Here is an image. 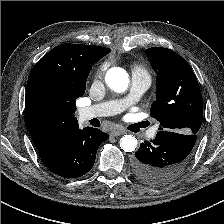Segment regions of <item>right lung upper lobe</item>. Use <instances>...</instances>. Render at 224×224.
<instances>
[{
	"label": "right lung upper lobe",
	"instance_id": "obj_1",
	"mask_svg": "<svg viewBox=\"0 0 224 224\" xmlns=\"http://www.w3.org/2000/svg\"><path fill=\"white\" fill-rule=\"evenodd\" d=\"M110 52L109 48L93 45L61 44L46 53L32 68L26 87V124L32 141L39 147L69 125H78L74 116L75 102L70 95L59 93L60 106L50 115H41L31 106L33 88L41 82H52L59 89L80 93L92 65ZM75 102H74V101Z\"/></svg>",
	"mask_w": 224,
	"mask_h": 224
}]
</instances>
